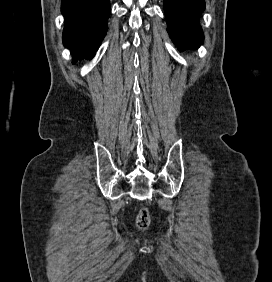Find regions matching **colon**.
Segmentation results:
<instances>
[{"label":"colon","mask_w":272,"mask_h":282,"mask_svg":"<svg viewBox=\"0 0 272 282\" xmlns=\"http://www.w3.org/2000/svg\"><path fill=\"white\" fill-rule=\"evenodd\" d=\"M150 224V214L147 208L142 207L136 218V226L143 230L146 229Z\"/></svg>","instance_id":"5ec220e1"}]
</instances>
